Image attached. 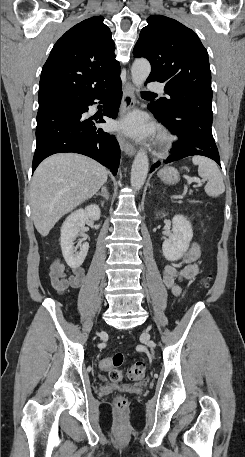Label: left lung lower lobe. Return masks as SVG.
<instances>
[{
	"label": "left lung lower lobe",
	"instance_id": "1",
	"mask_svg": "<svg viewBox=\"0 0 245 457\" xmlns=\"http://www.w3.org/2000/svg\"><path fill=\"white\" fill-rule=\"evenodd\" d=\"M148 108L171 133L179 137V140L174 143L173 154L163 163L177 161L188 156L201 155L213 159L220 165V157L211 129L212 112L182 109L175 113H165L157 107L156 102H152ZM160 164L161 162L158 161L152 165L150 171H154Z\"/></svg>",
	"mask_w": 245,
	"mask_h": 457
}]
</instances>
